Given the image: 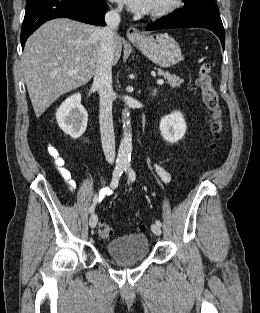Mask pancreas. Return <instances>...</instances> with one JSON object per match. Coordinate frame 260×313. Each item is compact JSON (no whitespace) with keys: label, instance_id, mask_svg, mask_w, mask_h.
I'll return each instance as SVG.
<instances>
[{"label":"pancreas","instance_id":"pancreas-1","mask_svg":"<svg viewBox=\"0 0 260 313\" xmlns=\"http://www.w3.org/2000/svg\"><path fill=\"white\" fill-rule=\"evenodd\" d=\"M157 70V74L159 76L164 77L167 80V84H169L172 88H178L180 87V84L183 82L182 79H180L179 77L170 74L167 71H163L162 69H155Z\"/></svg>","mask_w":260,"mask_h":313}]
</instances>
